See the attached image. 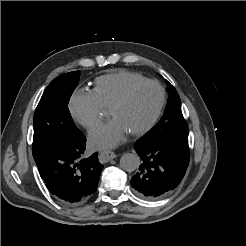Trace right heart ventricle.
Here are the masks:
<instances>
[{
    "label": "right heart ventricle",
    "instance_id": "obj_1",
    "mask_svg": "<svg viewBox=\"0 0 246 246\" xmlns=\"http://www.w3.org/2000/svg\"><path fill=\"white\" fill-rule=\"evenodd\" d=\"M144 79L135 72L116 71L97 77L91 92L99 105L108 110L129 86Z\"/></svg>",
    "mask_w": 246,
    "mask_h": 246
}]
</instances>
